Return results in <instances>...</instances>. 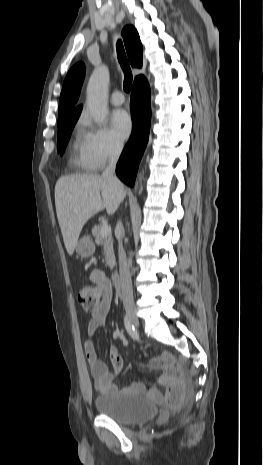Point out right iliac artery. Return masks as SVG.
I'll use <instances>...</instances> for the list:
<instances>
[{
    "label": "right iliac artery",
    "mask_w": 263,
    "mask_h": 465,
    "mask_svg": "<svg viewBox=\"0 0 263 465\" xmlns=\"http://www.w3.org/2000/svg\"><path fill=\"white\" fill-rule=\"evenodd\" d=\"M124 324H125V328H126L127 332L129 333V335L134 340H138L139 339V334H138L137 330L135 329L134 325L129 320L128 316H125Z\"/></svg>",
    "instance_id": "82829eb1"
}]
</instances>
